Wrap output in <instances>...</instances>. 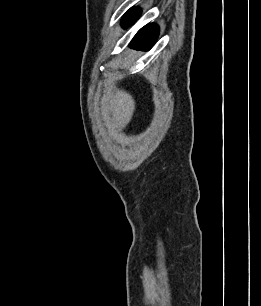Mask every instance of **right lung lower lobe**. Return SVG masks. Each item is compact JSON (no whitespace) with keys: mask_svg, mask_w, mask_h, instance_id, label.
<instances>
[{"mask_svg":"<svg viewBox=\"0 0 261 306\" xmlns=\"http://www.w3.org/2000/svg\"><path fill=\"white\" fill-rule=\"evenodd\" d=\"M141 11L137 8L129 10L122 19V25L129 27L140 16ZM158 36V27L154 24H148L138 31L135 35L131 47L135 49L148 50L150 49Z\"/></svg>","mask_w":261,"mask_h":306,"instance_id":"1","label":"right lung lower lobe"}]
</instances>
